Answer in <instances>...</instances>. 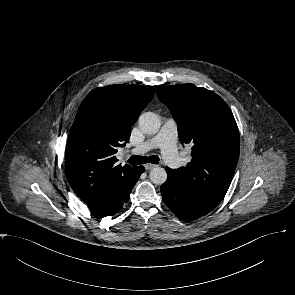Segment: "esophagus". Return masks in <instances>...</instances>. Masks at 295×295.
<instances>
[{"label":"esophagus","mask_w":295,"mask_h":295,"mask_svg":"<svg viewBox=\"0 0 295 295\" xmlns=\"http://www.w3.org/2000/svg\"><path fill=\"white\" fill-rule=\"evenodd\" d=\"M155 167H157V165H155V164H146L145 165V169L146 170H152L153 168H155Z\"/></svg>","instance_id":"esophagus-1"}]
</instances>
